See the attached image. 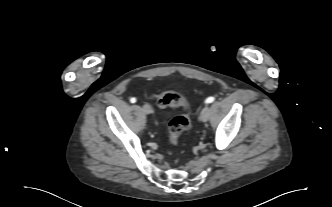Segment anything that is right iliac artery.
I'll return each mask as SVG.
<instances>
[{
	"mask_svg": "<svg viewBox=\"0 0 332 207\" xmlns=\"http://www.w3.org/2000/svg\"><path fill=\"white\" fill-rule=\"evenodd\" d=\"M130 102H131V103H135V102H136V98L132 97V98L130 99Z\"/></svg>",
	"mask_w": 332,
	"mask_h": 207,
	"instance_id": "right-iliac-artery-1",
	"label": "right iliac artery"
}]
</instances>
